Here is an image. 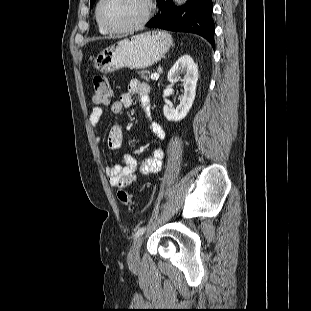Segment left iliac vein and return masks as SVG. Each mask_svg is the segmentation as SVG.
Segmentation results:
<instances>
[{
	"mask_svg": "<svg viewBox=\"0 0 311 311\" xmlns=\"http://www.w3.org/2000/svg\"><path fill=\"white\" fill-rule=\"evenodd\" d=\"M143 238L139 237L134 243L132 244V247L128 254V261L130 263H138L140 260V250L142 246Z\"/></svg>",
	"mask_w": 311,
	"mask_h": 311,
	"instance_id": "left-iliac-vein-1",
	"label": "left iliac vein"
}]
</instances>
